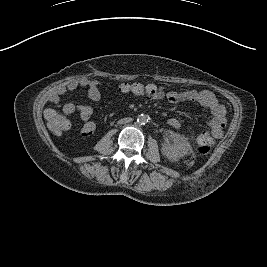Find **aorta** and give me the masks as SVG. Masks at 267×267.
I'll list each match as a JSON object with an SVG mask.
<instances>
[{
  "label": "aorta",
  "mask_w": 267,
  "mask_h": 267,
  "mask_svg": "<svg viewBox=\"0 0 267 267\" xmlns=\"http://www.w3.org/2000/svg\"><path fill=\"white\" fill-rule=\"evenodd\" d=\"M148 116L146 114H141L137 117V123L140 125H145L148 122Z\"/></svg>",
  "instance_id": "1"
}]
</instances>
